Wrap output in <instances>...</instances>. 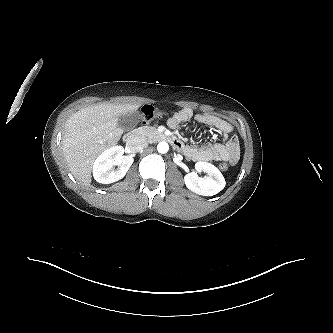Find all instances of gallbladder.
I'll return each instance as SVG.
<instances>
[{"mask_svg":"<svg viewBox=\"0 0 333 333\" xmlns=\"http://www.w3.org/2000/svg\"><path fill=\"white\" fill-rule=\"evenodd\" d=\"M138 121L139 116L136 113L131 112L118 117V126L121 127L124 131L128 132L134 129Z\"/></svg>","mask_w":333,"mask_h":333,"instance_id":"gallbladder-1","label":"gallbladder"}]
</instances>
